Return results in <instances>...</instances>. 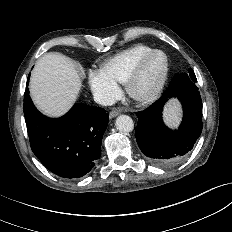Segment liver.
I'll use <instances>...</instances> for the list:
<instances>
[{
    "label": "liver",
    "mask_w": 232,
    "mask_h": 232,
    "mask_svg": "<svg viewBox=\"0 0 232 232\" xmlns=\"http://www.w3.org/2000/svg\"><path fill=\"white\" fill-rule=\"evenodd\" d=\"M82 71L66 56L50 52L35 64L30 94L39 110L51 117L67 112L80 92Z\"/></svg>",
    "instance_id": "6515ba94"
}]
</instances>
